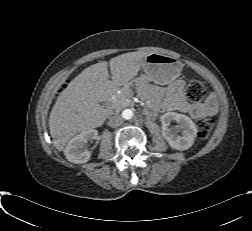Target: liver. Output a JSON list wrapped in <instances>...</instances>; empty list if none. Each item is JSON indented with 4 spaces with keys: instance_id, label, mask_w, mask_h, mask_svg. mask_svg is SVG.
<instances>
[{
    "instance_id": "obj_1",
    "label": "liver",
    "mask_w": 252,
    "mask_h": 231,
    "mask_svg": "<svg viewBox=\"0 0 252 231\" xmlns=\"http://www.w3.org/2000/svg\"><path fill=\"white\" fill-rule=\"evenodd\" d=\"M150 54L138 51L112 58L109 62L112 80L108 62L104 61L87 67L68 84L49 116V131L57 150H64L74 135L104 123L109 111L100 103L111 101L120 87L129 86Z\"/></svg>"
}]
</instances>
